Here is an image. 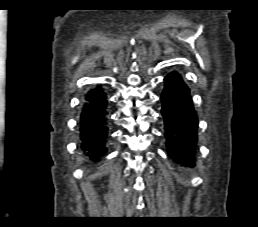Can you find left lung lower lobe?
<instances>
[{"label": "left lung lower lobe", "instance_id": "obj_1", "mask_svg": "<svg viewBox=\"0 0 258 227\" xmlns=\"http://www.w3.org/2000/svg\"><path fill=\"white\" fill-rule=\"evenodd\" d=\"M161 104L168 154L175 162L189 164L196 153L198 119L190 90L178 73L165 77Z\"/></svg>", "mask_w": 258, "mask_h": 227}]
</instances>
